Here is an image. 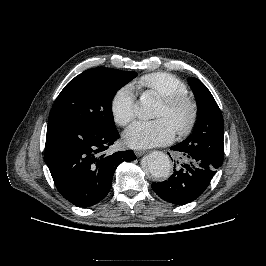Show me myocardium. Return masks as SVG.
I'll list each match as a JSON object with an SVG mask.
<instances>
[{
	"label": "myocardium",
	"instance_id": "obj_1",
	"mask_svg": "<svg viewBox=\"0 0 266 266\" xmlns=\"http://www.w3.org/2000/svg\"><path fill=\"white\" fill-rule=\"evenodd\" d=\"M162 102L168 109L175 111L181 107L186 106L189 109V115L187 120L175 128L176 132L180 136H186L194 129L198 117L199 106L196 99L188 93L168 95L161 98Z\"/></svg>",
	"mask_w": 266,
	"mask_h": 266
}]
</instances>
